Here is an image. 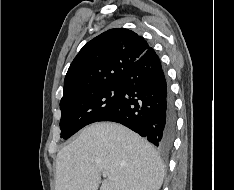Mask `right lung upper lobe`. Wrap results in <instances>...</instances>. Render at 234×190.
Instances as JSON below:
<instances>
[{
  "label": "right lung upper lobe",
  "mask_w": 234,
  "mask_h": 190,
  "mask_svg": "<svg viewBox=\"0 0 234 190\" xmlns=\"http://www.w3.org/2000/svg\"><path fill=\"white\" fill-rule=\"evenodd\" d=\"M149 48L144 38L128 29H110L95 37L71 63L61 102L79 93L118 83Z\"/></svg>",
  "instance_id": "1"
}]
</instances>
